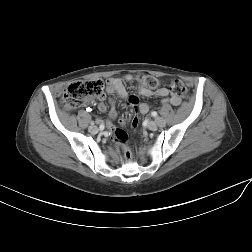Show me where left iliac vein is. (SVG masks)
<instances>
[{"label": "left iliac vein", "mask_w": 252, "mask_h": 252, "mask_svg": "<svg viewBox=\"0 0 252 252\" xmlns=\"http://www.w3.org/2000/svg\"><path fill=\"white\" fill-rule=\"evenodd\" d=\"M165 120L163 118H157L156 121H150L147 125L149 130L155 131L158 126H164L165 125Z\"/></svg>", "instance_id": "obj_1"}]
</instances>
